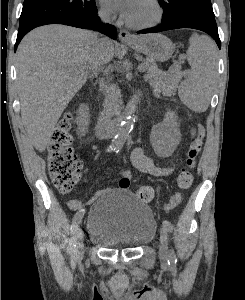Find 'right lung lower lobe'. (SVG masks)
Returning <instances> with one entry per match:
<instances>
[{
  "mask_svg": "<svg viewBox=\"0 0 245 300\" xmlns=\"http://www.w3.org/2000/svg\"><path fill=\"white\" fill-rule=\"evenodd\" d=\"M47 24H64V25L74 26V27H78V28L93 29V30L99 31L113 39H115L117 36V31L114 26H112L110 24L101 23L98 15H97V9L87 16L59 18V19L52 20V21L47 22L42 25H47ZM36 27H38V26H36ZM34 28L35 27H32V28L18 32L17 40H16L15 47H14L15 51H16L17 46H18L19 42L21 41V39L30 30H32Z\"/></svg>",
  "mask_w": 245,
  "mask_h": 300,
  "instance_id": "1",
  "label": "right lung lower lobe"
}]
</instances>
